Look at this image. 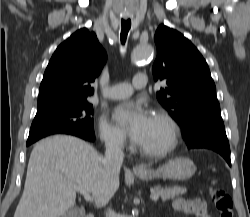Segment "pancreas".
Segmentation results:
<instances>
[{"label": "pancreas", "instance_id": "1", "mask_svg": "<svg viewBox=\"0 0 250 217\" xmlns=\"http://www.w3.org/2000/svg\"><path fill=\"white\" fill-rule=\"evenodd\" d=\"M186 193V188L180 186L160 187L156 186L151 189L152 195H159L163 201L174 199Z\"/></svg>", "mask_w": 250, "mask_h": 217}]
</instances>
